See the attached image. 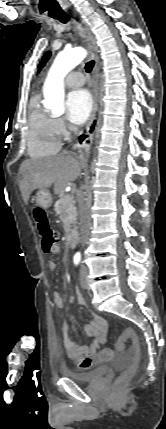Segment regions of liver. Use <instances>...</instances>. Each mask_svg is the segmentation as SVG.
I'll use <instances>...</instances> for the list:
<instances>
[{"mask_svg":"<svg viewBox=\"0 0 166 429\" xmlns=\"http://www.w3.org/2000/svg\"><path fill=\"white\" fill-rule=\"evenodd\" d=\"M81 164L71 153L64 151L49 158L27 159L19 168V187L25 204L31 193L54 185L56 194L62 192L69 182L80 174Z\"/></svg>","mask_w":166,"mask_h":429,"instance_id":"6515ba94","label":"liver"}]
</instances>
